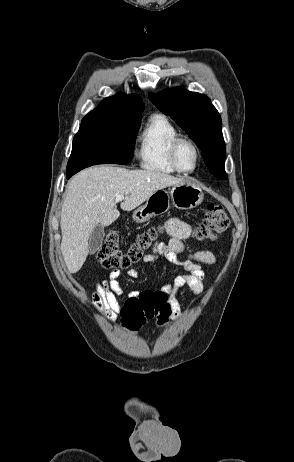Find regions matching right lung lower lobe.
Segmentation results:
<instances>
[{"instance_id":"obj_1","label":"right lung lower lobe","mask_w":294,"mask_h":462,"mask_svg":"<svg viewBox=\"0 0 294 462\" xmlns=\"http://www.w3.org/2000/svg\"><path fill=\"white\" fill-rule=\"evenodd\" d=\"M72 175H74V174H69V175H67V179H69Z\"/></svg>"}]
</instances>
